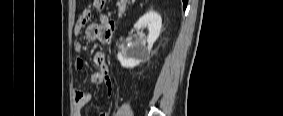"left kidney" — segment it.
Masks as SVG:
<instances>
[{
    "label": "left kidney",
    "mask_w": 283,
    "mask_h": 116,
    "mask_svg": "<svg viewBox=\"0 0 283 116\" xmlns=\"http://www.w3.org/2000/svg\"><path fill=\"white\" fill-rule=\"evenodd\" d=\"M161 26V16L153 10L145 13L134 24V27L137 29L147 27L149 33L145 39L139 40L136 43H130L124 47L122 52H118L117 59L122 67L133 68L149 58L153 44L160 35Z\"/></svg>",
    "instance_id": "left-kidney-1"
}]
</instances>
